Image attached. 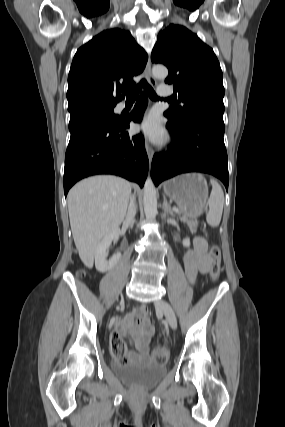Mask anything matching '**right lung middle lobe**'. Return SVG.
Instances as JSON below:
<instances>
[{
	"instance_id": "1",
	"label": "right lung middle lobe",
	"mask_w": 285,
	"mask_h": 427,
	"mask_svg": "<svg viewBox=\"0 0 285 427\" xmlns=\"http://www.w3.org/2000/svg\"><path fill=\"white\" fill-rule=\"evenodd\" d=\"M115 105L116 104L89 106L78 112L71 113L69 129H72L74 126L87 119H103L109 122L119 121L120 116L113 113Z\"/></svg>"
}]
</instances>
